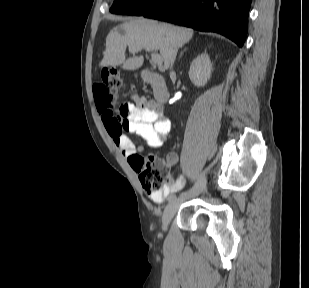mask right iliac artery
Masks as SVG:
<instances>
[{
  "mask_svg": "<svg viewBox=\"0 0 309 288\" xmlns=\"http://www.w3.org/2000/svg\"><path fill=\"white\" fill-rule=\"evenodd\" d=\"M170 200H175L176 198H177V193H175V192H170Z\"/></svg>",
  "mask_w": 309,
  "mask_h": 288,
  "instance_id": "1",
  "label": "right iliac artery"
}]
</instances>
